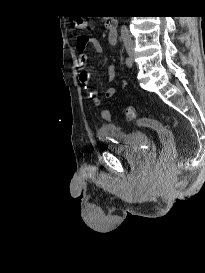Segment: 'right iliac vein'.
<instances>
[{"label":"right iliac vein","instance_id":"obj_1","mask_svg":"<svg viewBox=\"0 0 205 273\" xmlns=\"http://www.w3.org/2000/svg\"><path fill=\"white\" fill-rule=\"evenodd\" d=\"M127 52H128V55H129L131 58H133V51L127 50Z\"/></svg>","mask_w":205,"mask_h":273}]
</instances>
